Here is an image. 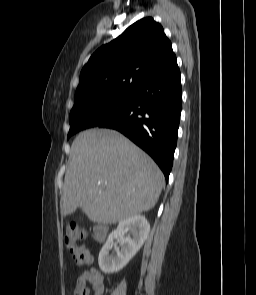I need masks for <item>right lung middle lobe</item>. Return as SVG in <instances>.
I'll return each instance as SVG.
<instances>
[{"mask_svg": "<svg viewBox=\"0 0 256 295\" xmlns=\"http://www.w3.org/2000/svg\"><path fill=\"white\" fill-rule=\"evenodd\" d=\"M135 100V92L119 96L94 99L76 100L69 115L70 130L68 138L88 127L87 122L96 119L113 118L130 108Z\"/></svg>", "mask_w": 256, "mask_h": 295, "instance_id": "obj_1", "label": "right lung middle lobe"}]
</instances>
